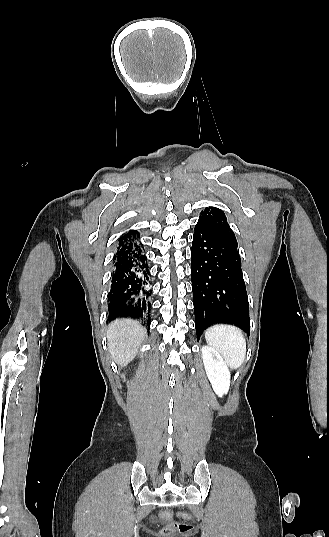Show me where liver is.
Wrapping results in <instances>:
<instances>
[{
  "mask_svg": "<svg viewBox=\"0 0 329 537\" xmlns=\"http://www.w3.org/2000/svg\"><path fill=\"white\" fill-rule=\"evenodd\" d=\"M146 329L131 319H117L107 331L108 348L112 359L125 367L138 353L144 341Z\"/></svg>",
  "mask_w": 329,
  "mask_h": 537,
  "instance_id": "liver-1",
  "label": "liver"
}]
</instances>
